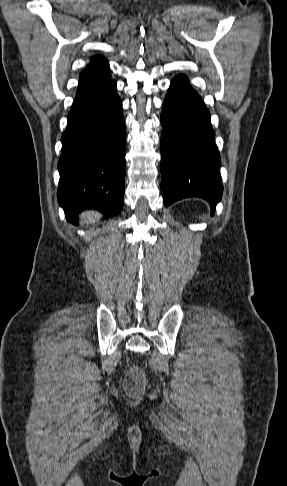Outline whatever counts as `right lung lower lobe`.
Returning <instances> with one entry per match:
<instances>
[{"label":"right lung lower lobe","instance_id":"obj_1","mask_svg":"<svg viewBox=\"0 0 287 486\" xmlns=\"http://www.w3.org/2000/svg\"><path fill=\"white\" fill-rule=\"evenodd\" d=\"M61 141L57 197L66 219L76 223L88 207L104 218L117 215L123 207L126 145L115 80L77 89Z\"/></svg>","mask_w":287,"mask_h":486}]
</instances>
